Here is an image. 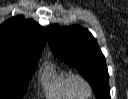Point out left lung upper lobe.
Segmentation results:
<instances>
[{
	"label": "left lung upper lobe",
	"mask_w": 128,
	"mask_h": 99,
	"mask_svg": "<svg viewBox=\"0 0 128 99\" xmlns=\"http://www.w3.org/2000/svg\"><path fill=\"white\" fill-rule=\"evenodd\" d=\"M52 52L88 80L97 99H110L109 74L96 39L79 25L46 28Z\"/></svg>",
	"instance_id": "left-lung-upper-lobe-1"
}]
</instances>
